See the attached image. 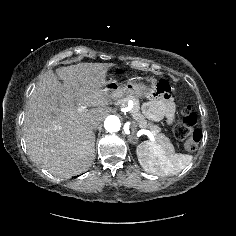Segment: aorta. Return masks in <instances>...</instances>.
I'll return each instance as SVG.
<instances>
[{
  "instance_id": "aorta-1",
  "label": "aorta",
  "mask_w": 236,
  "mask_h": 236,
  "mask_svg": "<svg viewBox=\"0 0 236 236\" xmlns=\"http://www.w3.org/2000/svg\"><path fill=\"white\" fill-rule=\"evenodd\" d=\"M104 127L110 133L117 132L121 127L120 119L115 115H110L105 119Z\"/></svg>"
}]
</instances>
